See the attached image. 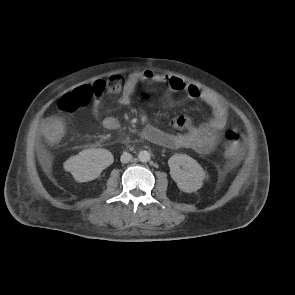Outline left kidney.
Masks as SVG:
<instances>
[{"instance_id":"5707ae66","label":"left kidney","mask_w":295,"mask_h":295,"mask_svg":"<svg viewBox=\"0 0 295 295\" xmlns=\"http://www.w3.org/2000/svg\"><path fill=\"white\" fill-rule=\"evenodd\" d=\"M171 178L178 188L187 193L199 190L206 178L201 165L192 157L185 154H175L168 160Z\"/></svg>"}]
</instances>
